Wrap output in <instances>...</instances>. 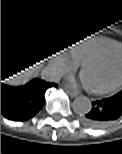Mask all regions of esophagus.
<instances>
[{"mask_svg":"<svg viewBox=\"0 0 122 154\" xmlns=\"http://www.w3.org/2000/svg\"><path fill=\"white\" fill-rule=\"evenodd\" d=\"M64 90L72 98H74V97H76L78 95V91L77 90H73V89H70L68 87H64Z\"/></svg>","mask_w":122,"mask_h":154,"instance_id":"esophagus-1","label":"esophagus"}]
</instances>
